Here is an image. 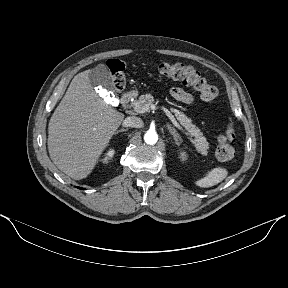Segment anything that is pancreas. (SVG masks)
<instances>
[{"label":"pancreas","instance_id":"cf45deb5","mask_svg":"<svg viewBox=\"0 0 288 288\" xmlns=\"http://www.w3.org/2000/svg\"><path fill=\"white\" fill-rule=\"evenodd\" d=\"M154 101V97L151 94L141 95L138 99H135L132 102V106L144 107L154 103ZM171 111L175 114L180 124L189 132V135L194 137L193 143L195 144L196 150L202 155H207L209 143L203 136V133L200 131V129L196 127L192 123V120L188 118L182 111H179L176 108H171Z\"/></svg>","mask_w":288,"mask_h":288}]
</instances>
